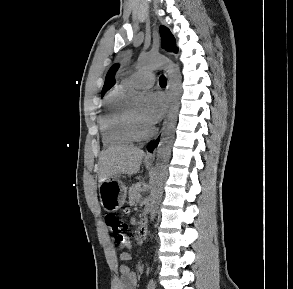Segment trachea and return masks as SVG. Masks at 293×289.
Here are the masks:
<instances>
[{
	"label": "trachea",
	"mask_w": 293,
	"mask_h": 289,
	"mask_svg": "<svg viewBox=\"0 0 293 289\" xmlns=\"http://www.w3.org/2000/svg\"><path fill=\"white\" fill-rule=\"evenodd\" d=\"M159 84L161 86H166L167 81H166V77L164 75L160 76V78H159Z\"/></svg>",
	"instance_id": "obj_1"
}]
</instances>
